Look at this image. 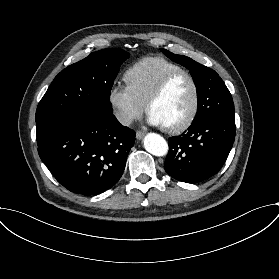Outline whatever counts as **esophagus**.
I'll return each instance as SVG.
<instances>
[{
    "label": "esophagus",
    "instance_id": "esophagus-1",
    "mask_svg": "<svg viewBox=\"0 0 279 279\" xmlns=\"http://www.w3.org/2000/svg\"><path fill=\"white\" fill-rule=\"evenodd\" d=\"M144 136H145V133H144V132H142V131H137V132H136V138H137L138 140L143 139Z\"/></svg>",
    "mask_w": 279,
    "mask_h": 279
}]
</instances>
